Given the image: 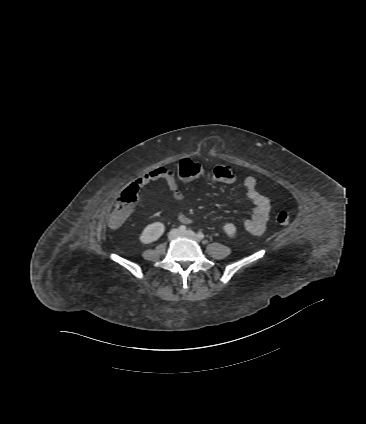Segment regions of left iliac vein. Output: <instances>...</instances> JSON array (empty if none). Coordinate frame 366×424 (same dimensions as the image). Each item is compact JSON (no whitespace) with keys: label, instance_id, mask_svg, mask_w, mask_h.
I'll return each instance as SVG.
<instances>
[{"label":"left iliac vein","instance_id":"4c4485c4","mask_svg":"<svg viewBox=\"0 0 366 424\" xmlns=\"http://www.w3.org/2000/svg\"><path fill=\"white\" fill-rule=\"evenodd\" d=\"M180 236L186 237V238H191V239H194L196 241H200L199 238L197 237V235L192 230H187L185 232H181Z\"/></svg>","mask_w":366,"mask_h":424}]
</instances>
